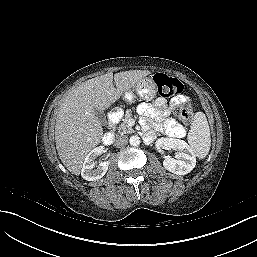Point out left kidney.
<instances>
[{
	"mask_svg": "<svg viewBox=\"0 0 257 257\" xmlns=\"http://www.w3.org/2000/svg\"><path fill=\"white\" fill-rule=\"evenodd\" d=\"M159 152L165 150H177L175 158L165 156L163 166L170 172L177 175H185L191 172L196 165V158L189 145L176 138H159L156 143Z\"/></svg>",
	"mask_w": 257,
	"mask_h": 257,
	"instance_id": "left-kidney-1",
	"label": "left kidney"
}]
</instances>
